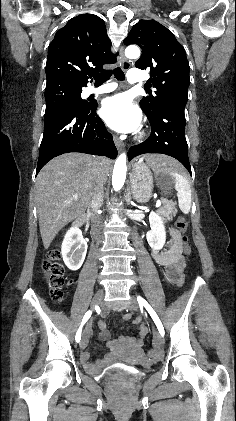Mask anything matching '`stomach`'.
<instances>
[{
    "label": "stomach",
    "mask_w": 236,
    "mask_h": 421,
    "mask_svg": "<svg viewBox=\"0 0 236 421\" xmlns=\"http://www.w3.org/2000/svg\"><path fill=\"white\" fill-rule=\"evenodd\" d=\"M174 176L169 168L153 166V172L144 162H135L130 172V188L137 202H148L152 196L154 182H157L165 194L172 192Z\"/></svg>",
    "instance_id": "1"
}]
</instances>
